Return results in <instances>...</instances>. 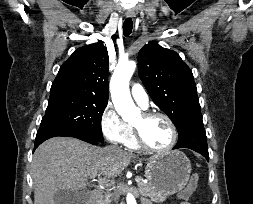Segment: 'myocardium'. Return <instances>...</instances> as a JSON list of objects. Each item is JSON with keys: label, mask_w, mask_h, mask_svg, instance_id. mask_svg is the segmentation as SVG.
Here are the masks:
<instances>
[{"label": "myocardium", "mask_w": 253, "mask_h": 204, "mask_svg": "<svg viewBox=\"0 0 253 204\" xmlns=\"http://www.w3.org/2000/svg\"><path fill=\"white\" fill-rule=\"evenodd\" d=\"M142 116L145 119H151V118H155V117L163 118L170 126L172 138H171L170 143L166 147L159 148V149L153 148L145 141V139L141 133V130L138 127L133 125L134 135H135L138 145L142 149L147 150L149 152H153V153H166V152L172 150L174 148V146L176 145L177 139H178V131H177V128H176L174 122L172 121V119L168 115H166L162 112H144L142 114Z\"/></svg>", "instance_id": "obj_1"}]
</instances>
